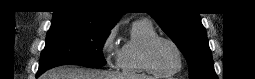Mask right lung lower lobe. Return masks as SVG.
<instances>
[{"label":"right lung lower lobe","instance_id":"obj_1","mask_svg":"<svg viewBox=\"0 0 255 79\" xmlns=\"http://www.w3.org/2000/svg\"><path fill=\"white\" fill-rule=\"evenodd\" d=\"M39 74H41V73L38 72V73H37V76H38Z\"/></svg>","mask_w":255,"mask_h":79}]
</instances>
